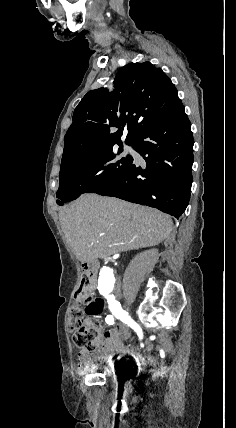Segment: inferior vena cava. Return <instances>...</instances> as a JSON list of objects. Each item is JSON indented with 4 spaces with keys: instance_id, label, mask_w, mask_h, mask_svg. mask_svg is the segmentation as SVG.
I'll list each match as a JSON object with an SVG mask.
<instances>
[{
    "instance_id": "602c4592",
    "label": "inferior vena cava",
    "mask_w": 236,
    "mask_h": 428,
    "mask_svg": "<svg viewBox=\"0 0 236 428\" xmlns=\"http://www.w3.org/2000/svg\"><path fill=\"white\" fill-rule=\"evenodd\" d=\"M119 284H118V286H115V296H120L121 295V293L122 292H120V288L122 287V281L119 279L118 281H117Z\"/></svg>"
}]
</instances>
